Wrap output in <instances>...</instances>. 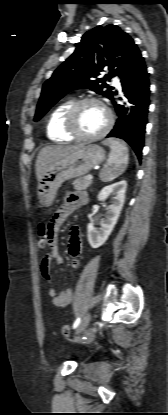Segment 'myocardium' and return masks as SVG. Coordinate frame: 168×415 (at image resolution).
Returning <instances> with one entry per match:
<instances>
[{"instance_id": "myocardium-1", "label": "myocardium", "mask_w": 168, "mask_h": 415, "mask_svg": "<svg viewBox=\"0 0 168 415\" xmlns=\"http://www.w3.org/2000/svg\"><path fill=\"white\" fill-rule=\"evenodd\" d=\"M89 103H95V104L100 105L106 112L107 121L103 129L99 131L98 133L93 134V135H84L78 130L76 120H77V114L80 108ZM112 125H113V114L110 108L104 102L94 97L83 98V99L75 101L67 110L66 115H65V120H64V126H65L66 132L70 136H72L74 139H78L82 141H94V140H98L104 137L110 131Z\"/></svg>"}]
</instances>
